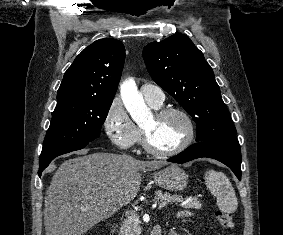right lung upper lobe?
Segmentation results:
<instances>
[{
	"mask_svg": "<svg viewBox=\"0 0 283 235\" xmlns=\"http://www.w3.org/2000/svg\"><path fill=\"white\" fill-rule=\"evenodd\" d=\"M125 60L121 41L100 39L85 48L64 74L57 102L71 98L112 99Z\"/></svg>",
	"mask_w": 283,
	"mask_h": 235,
	"instance_id": "1",
	"label": "right lung upper lobe"
}]
</instances>
